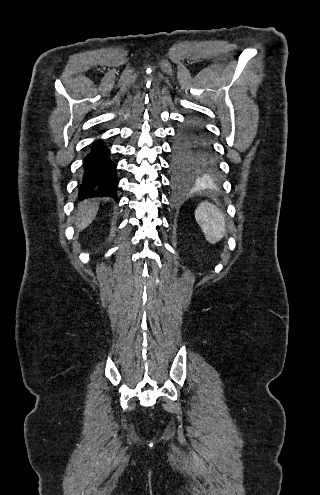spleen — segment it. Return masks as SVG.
<instances>
[{
	"instance_id": "obj_1",
	"label": "spleen",
	"mask_w": 320,
	"mask_h": 495,
	"mask_svg": "<svg viewBox=\"0 0 320 495\" xmlns=\"http://www.w3.org/2000/svg\"><path fill=\"white\" fill-rule=\"evenodd\" d=\"M195 217L209 243L216 244L226 235L225 217L216 206L202 202L195 211Z\"/></svg>"
}]
</instances>
